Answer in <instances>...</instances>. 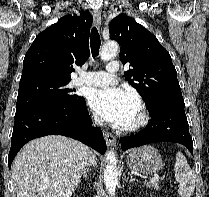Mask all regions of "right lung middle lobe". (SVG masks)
<instances>
[{
	"label": "right lung middle lobe",
	"instance_id": "obj_1",
	"mask_svg": "<svg viewBox=\"0 0 209 197\" xmlns=\"http://www.w3.org/2000/svg\"><path fill=\"white\" fill-rule=\"evenodd\" d=\"M70 80H44L19 85L16 110L46 103L76 102L83 97L75 95L74 89H69Z\"/></svg>",
	"mask_w": 209,
	"mask_h": 197
}]
</instances>
